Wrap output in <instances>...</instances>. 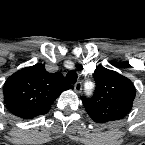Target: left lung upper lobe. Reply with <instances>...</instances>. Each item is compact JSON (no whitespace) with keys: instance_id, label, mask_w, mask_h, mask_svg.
<instances>
[{"instance_id":"5c2ea615","label":"left lung upper lobe","mask_w":145,"mask_h":145,"mask_svg":"<svg viewBox=\"0 0 145 145\" xmlns=\"http://www.w3.org/2000/svg\"><path fill=\"white\" fill-rule=\"evenodd\" d=\"M96 90L91 98L82 97L89 116L97 123L124 118L131 110L136 89L121 74L97 67L94 71Z\"/></svg>"}]
</instances>
